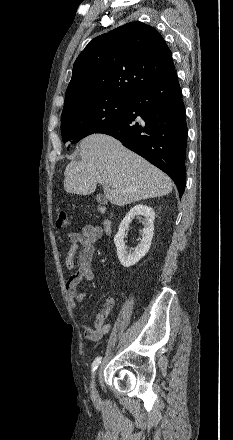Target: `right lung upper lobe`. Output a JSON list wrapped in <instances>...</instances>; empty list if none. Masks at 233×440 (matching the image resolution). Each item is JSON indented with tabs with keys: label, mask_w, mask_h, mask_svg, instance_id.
<instances>
[{
	"label": "right lung upper lobe",
	"mask_w": 233,
	"mask_h": 440,
	"mask_svg": "<svg viewBox=\"0 0 233 440\" xmlns=\"http://www.w3.org/2000/svg\"><path fill=\"white\" fill-rule=\"evenodd\" d=\"M173 72L163 37L149 25L130 22L94 38L80 53L64 107L91 98L130 99Z\"/></svg>",
	"instance_id": "obj_1"
}]
</instances>
